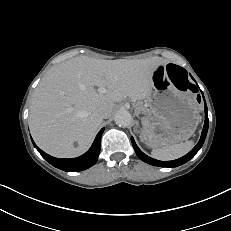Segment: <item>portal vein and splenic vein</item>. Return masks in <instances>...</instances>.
Returning a JSON list of instances; mask_svg holds the SVG:
<instances>
[{
    "label": "portal vein and splenic vein",
    "mask_w": 231,
    "mask_h": 231,
    "mask_svg": "<svg viewBox=\"0 0 231 231\" xmlns=\"http://www.w3.org/2000/svg\"><path fill=\"white\" fill-rule=\"evenodd\" d=\"M98 90H99L100 93H105L106 92V88H104V87H100Z\"/></svg>",
    "instance_id": "obj_1"
}]
</instances>
